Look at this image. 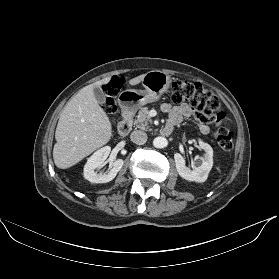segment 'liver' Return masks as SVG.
Wrapping results in <instances>:
<instances>
[{"label": "liver", "instance_id": "obj_1", "mask_svg": "<svg viewBox=\"0 0 279 279\" xmlns=\"http://www.w3.org/2000/svg\"><path fill=\"white\" fill-rule=\"evenodd\" d=\"M144 76L142 74L129 80V84H139ZM109 81L110 77H107L83 87L61 112L53 148V159L58 168L72 167L112 138L109 117L99 106L93 92L94 87Z\"/></svg>", "mask_w": 279, "mask_h": 279}]
</instances>
